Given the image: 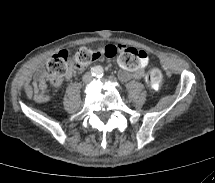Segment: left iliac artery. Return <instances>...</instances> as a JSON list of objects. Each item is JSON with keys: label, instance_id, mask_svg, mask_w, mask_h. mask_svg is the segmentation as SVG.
Returning <instances> with one entry per match:
<instances>
[{"label": "left iliac artery", "instance_id": "44dca946", "mask_svg": "<svg viewBox=\"0 0 215 183\" xmlns=\"http://www.w3.org/2000/svg\"><path fill=\"white\" fill-rule=\"evenodd\" d=\"M99 75H100L99 77H102V76H103V72L101 71V72L99 73Z\"/></svg>", "mask_w": 215, "mask_h": 183}]
</instances>
